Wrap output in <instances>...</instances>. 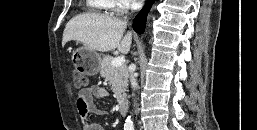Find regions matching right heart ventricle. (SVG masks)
<instances>
[{
  "mask_svg": "<svg viewBox=\"0 0 257 130\" xmlns=\"http://www.w3.org/2000/svg\"><path fill=\"white\" fill-rule=\"evenodd\" d=\"M88 7L93 11L103 12L114 8L113 0H86Z\"/></svg>",
  "mask_w": 257,
  "mask_h": 130,
  "instance_id": "obj_1",
  "label": "right heart ventricle"
}]
</instances>
